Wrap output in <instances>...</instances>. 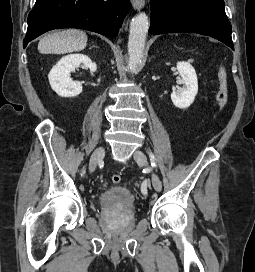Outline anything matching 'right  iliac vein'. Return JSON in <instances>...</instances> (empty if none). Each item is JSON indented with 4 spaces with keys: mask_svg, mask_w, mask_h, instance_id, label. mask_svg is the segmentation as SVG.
<instances>
[{
    "mask_svg": "<svg viewBox=\"0 0 255 272\" xmlns=\"http://www.w3.org/2000/svg\"><path fill=\"white\" fill-rule=\"evenodd\" d=\"M105 153V148L103 146L98 147L93 154L91 155L90 162H89V170L90 172H94L96 166L100 160L103 159Z\"/></svg>",
    "mask_w": 255,
    "mask_h": 272,
    "instance_id": "63e3f726",
    "label": "right iliac vein"
}]
</instances>
